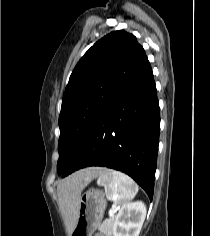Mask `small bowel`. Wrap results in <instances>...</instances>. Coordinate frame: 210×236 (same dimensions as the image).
Instances as JSON below:
<instances>
[{
	"instance_id": "c3829d8e",
	"label": "small bowel",
	"mask_w": 210,
	"mask_h": 236,
	"mask_svg": "<svg viewBox=\"0 0 210 236\" xmlns=\"http://www.w3.org/2000/svg\"><path fill=\"white\" fill-rule=\"evenodd\" d=\"M96 236H103V235L97 234Z\"/></svg>"
}]
</instances>
